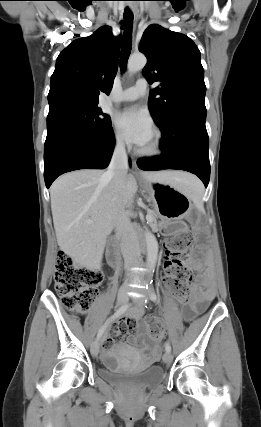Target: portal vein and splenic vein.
Returning <instances> with one entry per match:
<instances>
[{"label":"portal vein and splenic vein","mask_w":261,"mask_h":427,"mask_svg":"<svg viewBox=\"0 0 261 427\" xmlns=\"http://www.w3.org/2000/svg\"><path fill=\"white\" fill-rule=\"evenodd\" d=\"M146 218H148V219H149V215H147V216H146ZM91 222H92V221H89V223H91Z\"/></svg>","instance_id":"obj_1"}]
</instances>
